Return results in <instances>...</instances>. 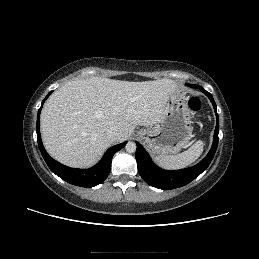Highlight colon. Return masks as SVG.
<instances>
[{"mask_svg":"<svg viewBox=\"0 0 259 259\" xmlns=\"http://www.w3.org/2000/svg\"><path fill=\"white\" fill-rule=\"evenodd\" d=\"M187 107L191 113H197L201 109V101L198 97H190L187 101Z\"/></svg>","mask_w":259,"mask_h":259,"instance_id":"colon-1","label":"colon"}]
</instances>
